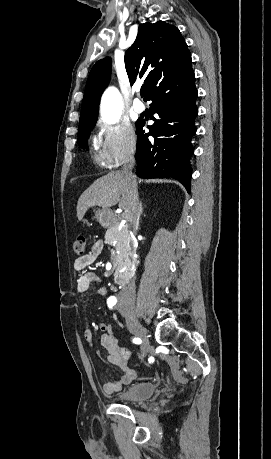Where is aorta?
Listing matches in <instances>:
<instances>
[{
    "mask_svg": "<svg viewBox=\"0 0 271 459\" xmlns=\"http://www.w3.org/2000/svg\"><path fill=\"white\" fill-rule=\"evenodd\" d=\"M122 108L121 94L116 88L109 87L101 99L102 120L108 124L118 122L121 117Z\"/></svg>",
    "mask_w": 271,
    "mask_h": 459,
    "instance_id": "obj_1",
    "label": "aorta"
}]
</instances>
